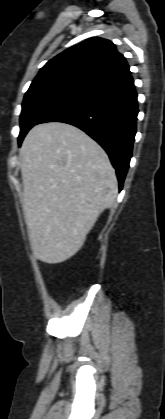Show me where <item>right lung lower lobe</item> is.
<instances>
[{
  "mask_svg": "<svg viewBox=\"0 0 165 419\" xmlns=\"http://www.w3.org/2000/svg\"><path fill=\"white\" fill-rule=\"evenodd\" d=\"M137 114V94L129 74L54 109L37 124L64 122L85 131L109 155L121 190L132 156Z\"/></svg>",
  "mask_w": 165,
  "mask_h": 419,
  "instance_id": "obj_1",
  "label": "right lung lower lobe"
}]
</instances>
